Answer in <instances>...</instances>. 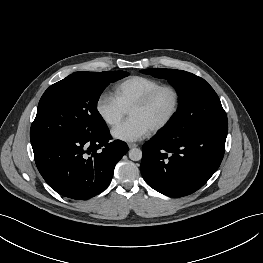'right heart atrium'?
<instances>
[{
    "instance_id": "1",
    "label": "right heart atrium",
    "mask_w": 263,
    "mask_h": 263,
    "mask_svg": "<svg viewBox=\"0 0 263 263\" xmlns=\"http://www.w3.org/2000/svg\"><path fill=\"white\" fill-rule=\"evenodd\" d=\"M95 108L102 121L110 127L116 126L126 112V109L109 93H103L98 97Z\"/></svg>"
}]
</instances>
